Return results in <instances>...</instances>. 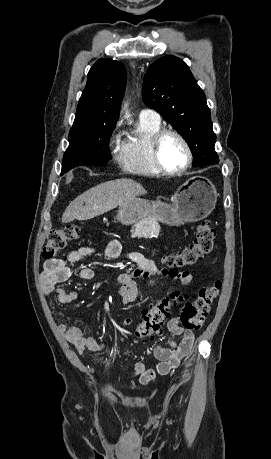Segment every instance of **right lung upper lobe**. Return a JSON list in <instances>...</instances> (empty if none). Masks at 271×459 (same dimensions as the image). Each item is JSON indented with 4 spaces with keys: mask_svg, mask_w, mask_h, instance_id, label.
Instances as JSON below:
<instances>
[{
    "mask_svg": "<svg viewBox=\"0 0 271 459\" xmlns=\"http://www.w3.org/2000/svg\"><path fill=\"white\" fill-rule=\"evenodd\" d=\"M126 79V69L121 62L99 59L88 73V81L78 103L76 118H119Z\"/></svg>",
    "mask_w": 271,
    "mask_h": 459,
    "instance_id": "cb5924a9",
    "label": "right lung upper lobe"
}]
</instances>
